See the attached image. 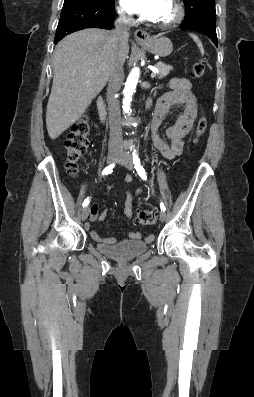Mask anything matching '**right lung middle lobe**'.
Masks as SVG:
<instances>
[{
  "instance_id": "dd1d6c3e",
  "label": "right lung middle lobe",
  "mask_w": 254,
  "mask_h": 397,
  "mask_svg": "<svg viewBox=\"0 0 254 397\" xmlns=\"http://www.w3.org/2000/svg\"><path fill=\"white\" fill-rule=\"evenodd\" d=\"M84 5L96 7L100 9H111L114 8L115 0H75Z\"/></svg>"
}]
</instances>
